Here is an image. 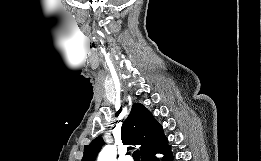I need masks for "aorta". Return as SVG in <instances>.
Here are the masks:
<instances>
[{"label":"aorta","mask_w":261,"mask_h":161,"mask_svg":"<svg viewBox=\"0 0 261 161\" xmlns=\"http://www.w3.org/2000/svg\"><path fill=\"white\" fill-rule=\"evenodd\" d=\"M116 148L114 146H106L99 153L97 161H117Z\"/></svg>","instance_id":"obj_1"}]
</instances>
